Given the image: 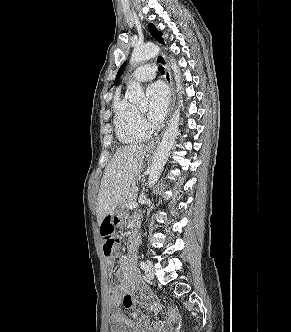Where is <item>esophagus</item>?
<instances>
[{
  "mask_svg": "<svg viewBox=\"0 0 291 332\" xmlns=\"http://www.w3.org/2000/svg\"><path fill=\"white\" fill-rule=\"evenodd\" d=\"M156 61L158 63H160L161 65H163V67L165 68V80H166L167 84L170 87V91H171V95H170V108H169V116H170L171 113H172V110H173L174 99H175V88H174V84H173V80H172L171 71H170L168 62H167L166 58L164 57V55L157 54ZM161 136L162 135H160V136L156 137L154 140H152L148 144V147L149 148H155L159 144Z\"/></svg>",
  "mask_w": 291,
  "mask_h": 332,
  "instance_id": "obj_1",
  "label": "esophagus"
}]
</instances>
